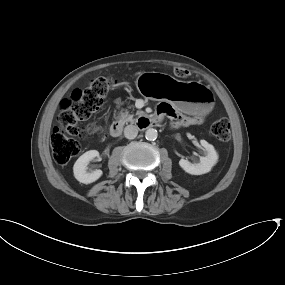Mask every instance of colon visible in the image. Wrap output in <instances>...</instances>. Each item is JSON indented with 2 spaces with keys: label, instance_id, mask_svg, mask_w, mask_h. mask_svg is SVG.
<instances>
[{
  "label": "colon",
  "instance_id": "obj_1",
  "mask_svg": "<svg viewBox=\"0 0 285 285\" xmlns=\"http://www.w3.org/2000/svg\"><path fill=\"white\" fill-rule=\"evenodd\" d=\"M174 74L179 79H186L190 76V71L178 67L175 68ZM116 86V81L111 77H96L91 80L88 87L74 89L69 97L61 101L58 123L54 126L50 137L56 163L66 164L78 155L80 152L78 138L103 132V128L95 124H88L83 128H78L77 125L80 121L88 119ZM210 130L213 136L221 142L230 139V125L223 116L212 122Z\"/></svg>",
  "mask_w": 285,
  "mask_h": 285
}]
</instances>
